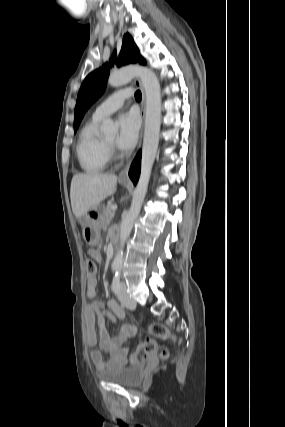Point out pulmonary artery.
Wrapping results in <instances>:
<instances>
[{"label":"pulmonary artery","mask_w":285,"mask_h":427,"mask_svg":"<svg viewBox=\"0 0 285 427\" xmlns=\"http://www.w3.org/2000/svg\"><path fill=\"white\" fill-rule=\"evenodd\" d=\"M131 95V89H123L113 93L97 106L93 113V117L101 120L109 116L121 108L125 101L131 97Z\"/></svg>","instance_id":"e3ab8cb5"}]
</instances>
